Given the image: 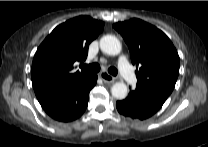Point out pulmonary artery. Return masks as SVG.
I'll list each match as a JSON object with an SVG mask.
<instances>
[{
  "instance_id": "e3ab8cb5",
  "label": "pulmonary artery",
  "mask_w": 208,
  "mask_h": 147,
  "mask_svg": "<svg viewBox=\"0 0 208 147\" xmlns=\"http://www.w3.org/2000/svg\"><path fill=\"white\" fill-rule=\"evenodd\" d=\"M119 70L124 77V79L128 83H134L136 81V77L134 72L132 71L127 59L125 56H121L118 61Z\"/></svg>"
}]
</instances>
